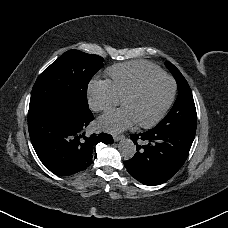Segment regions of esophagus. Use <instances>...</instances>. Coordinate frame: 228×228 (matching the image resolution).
<instances>
[{"label":"esophagus","mask_w":228,"mask_h":228,"mask_svg":"<svg viewBox=\"0 0 228 228\" xmlns=\"http://www.w3.org/2000/svg\"><path fill=\"white\" fill-rule=\"evenodd\" d=\"M123 138H124V135H115V136L113 137V139H114L115 142L120 141V140L123 139Z\"/></svg>","instance_id":"esophagus-1"}]
</instances>
